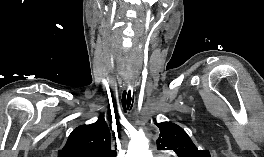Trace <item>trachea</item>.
<instances>
[{
	"instance_id": "3493384b",
	"label": "trachea",
	"mask_w": 264,
	"mask_h": 157,
	"mask_svg": "<svg viewBox=\"0 0 264 157\" xmlns=\"http://www.w3.org/2000/svg\"><path fill=\"white\" fill-rule=\"evenodd\" d=\"M134 93L132 91L131 83H127V88L123 91L122 95V106L125 110L132 108L133 106Z\"/></svg>"
}]
</instances>
